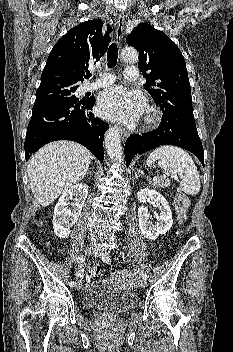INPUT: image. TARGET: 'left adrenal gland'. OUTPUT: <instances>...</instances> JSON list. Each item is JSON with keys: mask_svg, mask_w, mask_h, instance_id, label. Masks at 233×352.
<instances>
[{"mask_svg": "<svg viewBox=\"0 0 233 352\" xmlns=\"http://www.w3.org/2000/svg\"><path fill=\"white\" fill-rule=\"evenodd\" d=\"M142 175V171L141 170H137V172H135V178H138Z\"/></svg>", "mask_w": 233, "mask_h": 352, "instance_id": "left-adrenal-gland-1", "label": "left adrenal gland"}]
</instances>
